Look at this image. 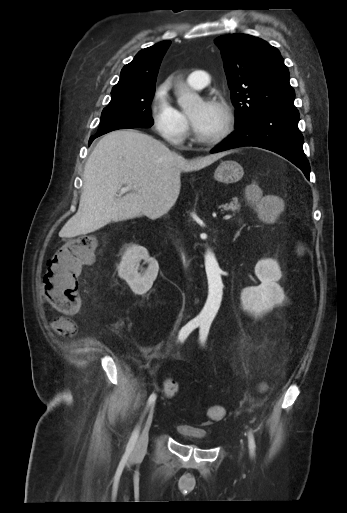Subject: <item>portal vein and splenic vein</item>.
<instances>
[{"label": "portal vein and splenic vein", "mask_w": 347, "mask_h": 513, "mask_svg": "<svg viewBox=\"0 0 347 513\" xmlns=\"http://www.w3.org/2000/svg\"><path fill=\"white\" fill-rule=\"evenodd\" d=\"M131 187H132V186H130V185H129V186H126V187H122V188H120V191H121V192H125V191L129 190ZM230 218H231V216H230V215H225V216L223 217V219H224V220H229Z\"/></svg>", "instance_id": "obj_1"}]
</instances>
